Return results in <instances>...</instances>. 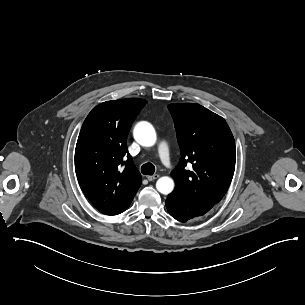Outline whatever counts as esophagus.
Returning <instances> with one entry per match:
<instances>
[{
  "mask_svg": "<svg viewBox=\"0 0 305 305\" xmlns=\"http://www.w3.org/2000/svg\"><path fill=\"white\" fill-rule=\"evenodd\" d=\"M157 178H159V175H158V174L152 175V176H147V179H148L149 181H153V180H155V179H157Z\"/></svg>",
  "mask_w": 305,
  "mask_h": 305,
  "instance_id": "esophagus-1",
  "label": "esophagus"
}]
</instances>
